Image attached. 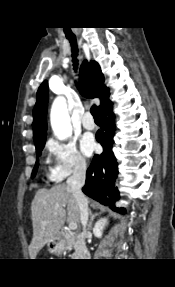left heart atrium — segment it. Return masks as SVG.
<instances>
[{"label":"left heart atrium","mask_w":175,"mask_h":287,"mask_svg":"<svg viewBox=\"0 0 175 287\" xmlns=\"http://www.w3.org/2000/svg\"><path fill=\"white\" fill-rule=\"evenodd\" d=\"M81 149L86 155H91L96 149V142L91 134H86L81 139Z\"/></svg>","instance_id":"39dd6f15"}]
</instances>
